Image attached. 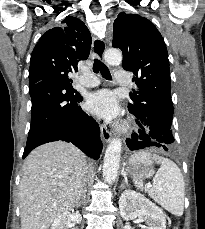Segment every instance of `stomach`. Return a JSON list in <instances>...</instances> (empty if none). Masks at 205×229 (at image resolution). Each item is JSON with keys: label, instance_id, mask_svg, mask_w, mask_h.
I'll list each match as a JSON object with an SVG mask.
<instances>
[{"label": "stomach", "instance_id": "obj_1", "mask_svg": "<svg viewBox=\"0 0 205 229\" xmlns=\"http://www.w3.org/2000/svg\"><path fill=\"white\" fill-rule=\"evenodd\" d=\"M144 167L142 166H133V167H130V168H127V173L133 175V176H141L143 175V169Z\"/></svg>", "mask_w": 205, "mask_h": 229}]
</instances>
